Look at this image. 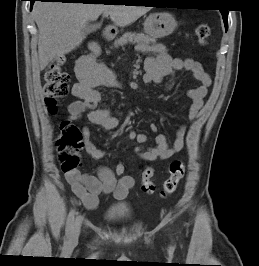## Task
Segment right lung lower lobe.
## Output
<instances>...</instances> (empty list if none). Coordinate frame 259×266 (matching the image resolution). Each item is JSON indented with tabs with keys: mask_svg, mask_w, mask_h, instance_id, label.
Instances as JSON below:
<instances>
[{
	"mask_svg": "<svg viewBox=\"0 0 259 266\" xmlns=\"http://www.w3.org/2000/svg\"><path fill=\"white\" fill-rule=\"evenodd\" d=\"M29 1L31 2V8H32L33 3L35 1H42V2L52 1V2H62V3L72 2V1H82V3L86 4V3H101V1L103 0H29Z\"/></svg>",
	"mask_w": 259,
	"mask_h": 266,
	"instance_id": "right-lung-lower-lobe-1",
	"label": "right lung lower lobe"
}]
</instances>
